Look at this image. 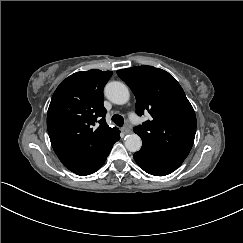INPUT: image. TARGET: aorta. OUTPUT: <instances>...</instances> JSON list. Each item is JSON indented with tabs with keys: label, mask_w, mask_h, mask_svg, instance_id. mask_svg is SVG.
I'll list each match as a JSON object with an SVG mask.
<instances>
[{
	"label": "aorta",
	"mask_w": 243,
	"mask_h": 243,
	"mask_svg": "<svg viewBox=\"0 0 243 243\" xmlns=\"http://www.w3.org/2000/svg\"><path fill=\"white\" fill-rule=\"evenodd\" d=\"M104 94L108 100L117 105H123L128 102L130 94L128 87L119 81L107 83ZM142 146L141 138L133 133L125 136V147L130 152L139 151Z\"/></svg>",
	"instance_id": "obj_1"
}]
</instances>
